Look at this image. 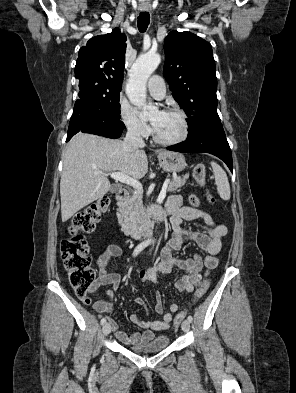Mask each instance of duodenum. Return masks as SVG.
<instances>
[{
    "instance_id": "obj_1",
    "label": "duodenum",
    "mask_w": 296,
    "mask_h": 393,
    "mask_svg": "<svg viewBox=\"0 0 296 393\" xmlns=\"http://www.w3.org/2000/svg\"><path fill=\"white\" fill-rule=\"evenodd\" d=\"M127 190L119 189L115 196L117 204L123 202L127 197ZM166 210L158 206H149L145 212V221L140 226L131 229L130 233L133 235L150 237L153 231V223L155 221H163L167 218Z\"/></svg>"
}]
</instances>
